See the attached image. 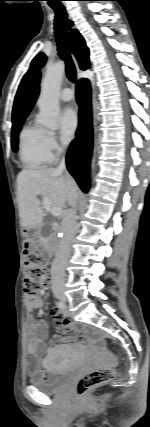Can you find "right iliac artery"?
<instances>
[{"mask_svg": "<svg viewBox=\"0 0 150 427\" xmlns=\"http://www.w3.org/2000/svg\"><path fill=\"white\" fill-rule=\"evenodd\" d=\"M57 306H58L60 309H64V308H65V304H64L63 302H61V301L57 302Z\"/></svg>", "mask_w": 150, "mask_h": 427, "instance_id": "right-iliac-artery-1", "label": "right iliac artery"}]
</instances>
